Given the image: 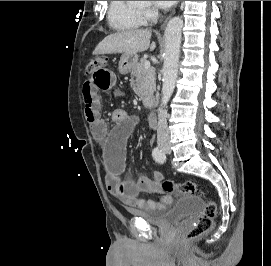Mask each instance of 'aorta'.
I'll return each instance as SVG.
<instances>
[{
    "label": "aorta",
    "instance_id": "aorta-1",
    "mask_svg": "<svg viewBox=\"0 0 271 266\" xmlns=\"http://www.w3.org/2000/svg\"><path fill=\"white\" fill-rule=\"evenodd\" d=\"M182 28V18L173 17L169 20L164 33L165 50L162 68L163 85L161 98V106L164 107L167 105L173 94L178 75Z\"/></svg>",
    "mask_w": 271,
    "mask_h": 266
}]
</instances>
